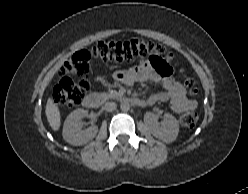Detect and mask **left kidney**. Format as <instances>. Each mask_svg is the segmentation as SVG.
<instances>
[{
	"label": "left kidney",
	"mask_w": 248,
	"mask_h": 194,
	"mask_svg": "<svg viewBox=\"0 0 248 194\" xmlns=\"http://www.w3.org/2000/svg\"><path fill=\"white\" fill-rule=\"evenodd\" d=\"M151 133L163 142L171 143L176 140L178 136L179 123L171 114H165L161 125L156 123L152 126Z\"/></svg>",
	"instance_id": "5707ae66"
}]
</instances>
